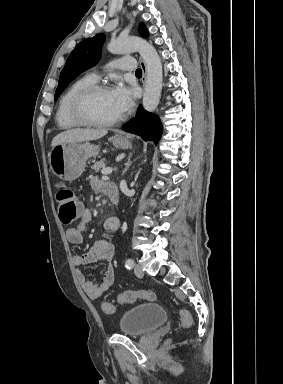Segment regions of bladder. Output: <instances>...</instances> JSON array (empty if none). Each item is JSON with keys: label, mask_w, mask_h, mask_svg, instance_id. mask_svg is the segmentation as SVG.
Wrapping results in <instances>:
<instances>
[{"label": "bladder", "mask_w": 283, "mask_h": 384, "mask_svg": "<svg viewBox=\"0 0 283 384\" xmlns=\"http://www.w3.org/2000/svg\"><path fill=\"white\" fill-rule=\"evenodd\" d=\"M166 321V310L158 302H143L122 312L118 328L125 336H144Z\"/></svg>", "instance_id": "bladder-1"}]
</instances>
